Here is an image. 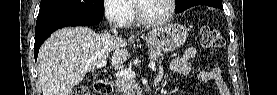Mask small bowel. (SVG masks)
<instances>
[{"instance_id": "obj_1", "label": "small bowel", "mask_w": 277, "mask_h": 95, "mask_svg": "<svg viewBox=\"0 0 277 95\" xmlns=\"http://www.w3.org/2000/svg\"><path fill=\"white\" fill-rule=\"evenodd\" d=\"M198 51L199 50L197 47L188 48L183 55L172 59L166 68H161L158 72L156 79L158 81H161L164 78L166 69L179 75L189 74L191 69L190 62L198 55ZM198 77L201 80L213 82L217 86L219 94H230L228 86L220 74L219 68H216L213 71H203L198 75Z\"/></svg>"}]
</instances>
